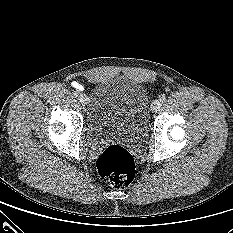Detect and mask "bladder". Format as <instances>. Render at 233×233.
I'll list each match as a JSON object with an SVG mask.
<instances>
[{
    "instance_id": "obj_1",
    "label": "bladder",
    "mask_w": 233,
    "mask_h": 233,
    "mask_svg": "<svg viewBox=\"0 0 233 233\" xmlns=\"http://www.w3.org/2000/svg\"><path fill=\"white\" fill-rule=\"evenodd\" d=\"M87 124L93 139L138 141L149 126V98L145 88L118 76L97 83L88 99Z\"/></svg>"
}]
</instances>
